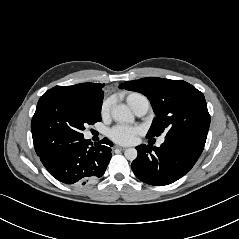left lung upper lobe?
Instances as JSON below:
<instances>
[{"label": "left lung upper lobe", "instance_id": "5c2ea615", "mask_svg": "<svg viewBox=\"0 0 239 239\" xmlns=\"http://www.w3.org/2000/svg\"><path fill=\"white\" fill-rule=\"evenodd\" d=\"M119 88L144 94L151 102L156 117L147 137L176 136L206 142L210 115L202 92L182 80L158 77L126 81Z\"/></svg>", "mask_w": 239, "mask_h": 239}]
</instances>
